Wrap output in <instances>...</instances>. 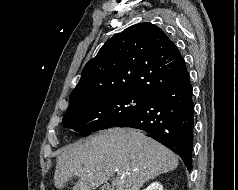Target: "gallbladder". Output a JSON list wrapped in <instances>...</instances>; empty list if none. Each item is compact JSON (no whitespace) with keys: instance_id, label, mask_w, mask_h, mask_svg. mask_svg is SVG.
Wrapping results in <instances>:
<instances>
[{"instance_id":"obj_1","label":"gallbladder","mask_w":238,"mask_h":190,"mask_svg":"<svg viewBox=\"0 0 238 190\" xmlns=\"http://www.w3.org/2000/svg\"><path fill=\"white\" fill-rule=\"evenodd\" d=\"M99 190H110V185L108 183H105L104 185L100 187Z\"/></svg>"}]
</instances>
